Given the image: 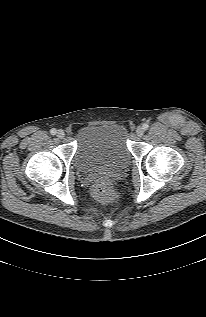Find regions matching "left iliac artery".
<instances>
[{
  "label": "left iliac artery",
  "mask_w": 206,
  "mask_h": 317,
  "mask_svg": "<svg viewBox=\"0 0 206 317\" xmlns=\"http://www.w3.org/2000/svg\"><path fill=\"white\" fill-rule=\"evenodd\" d=\"M148 127H149V125H148L147 123H144V124H143V128H144L145 130H147Z\"/></svg>",
  "instance_id": "left-iliac-artery-1"
}]
</instances>
